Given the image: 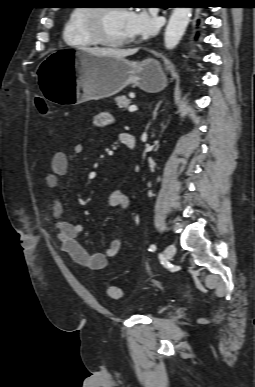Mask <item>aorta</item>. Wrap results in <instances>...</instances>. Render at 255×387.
I'll return each instance as SVG.
<instances>
[{"mask_svg": "<svg viewBox=\"0 0 255 387\" xmlns=\"http://www.w3.org/2000/svg\"><path fill=\"white\" fill-rule=\"evenodd\" d=\"M191 7H175L164 33L166 49H174L180 42L191 17Z\"/></svg>", "mask_w": 255, "mask_h": 387, "instance_id": "aorta-1", "label": "aorta"}]
</instances>
